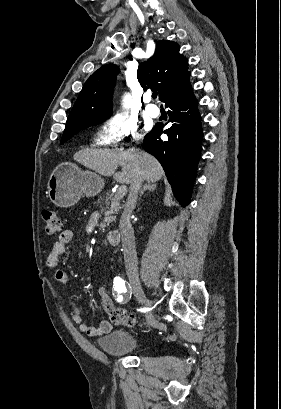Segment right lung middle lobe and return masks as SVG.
Instances as JSON below:
<instances>
[{"label": "right lung middle lobe", "instance_id": "dd1d6c3e", "mask_svg": "<svg viewBox=\"0 0 281 409\" xmlns=\"http://www.w3.org/2000/svg\"><path fill=\"white\" fill-rule=\"evenodd\" d=\"M105 119H101L99 121H96L94 123H91V124H88V125H85V126H81V127H68V128H65L62 139H61V144L66 142L68 139H70L73 135L77 134L79 131H81V130L87 128V127L94 126V125H97L99 123H102Z\"/></svg>", "mask_w": 281, "mask_h": 409}]
</instances>
